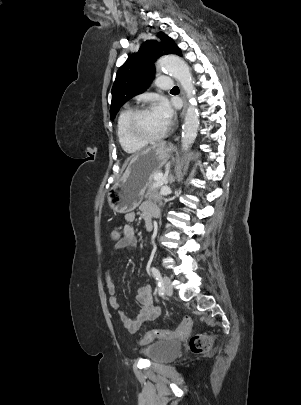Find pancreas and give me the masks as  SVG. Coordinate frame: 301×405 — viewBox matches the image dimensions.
<instances>
[{"label": "pancreas", "instance_id": "pancreas-1", "mask_svg": "<svg viewBox=\"0 0 301 405\" xmlns=\"http://www.w3.org/2000/svg\"><path fill=\"white\" fill-rule=\"evenodd\" d=\"M156 174H158V172L155 173L154 176H155ZM154 176H153V179H154ZM160 188H161V185H160V184H157V181L153 180V182L151 183V185L149 186V188H148V190H147L146 197H147L150 201L158 202V203L161 204L162 201H161V196H160V194H159Z\"/></svg>", "mask_w": 301, "mask_h": 405}]
</instances>
